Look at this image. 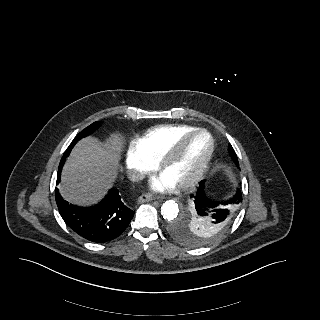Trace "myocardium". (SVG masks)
I'll return each mask as SVG.
<instances>
[{
	"mask_svg": "<svg viewBox=\"0 0 320 320\" xmlns=\"http://www.w3.org/2000/svg\"><path fill=\"white\" fill-rule=\"evenodd\" d=\"M196 136L206 137L207 150L195 170L186 179L177 184V187L180 189H186L194 186L206 172L215 149L214 140L211 134L205 129L194 128L178 137L169 150L159 159V169L161 172H163L173 161L179 157L186 144Z\"/></svg>",
	"mask_w": 320,
	"mask_h": 320,
	"instance_id": "1",
	"label": "myocardium"
}]
</instances>
